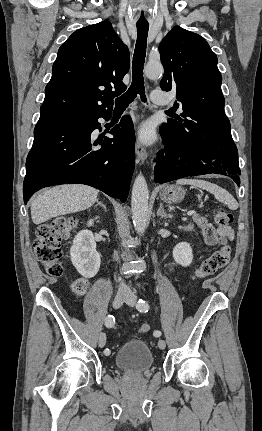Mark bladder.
Returning <instances> with one entry per match:
<instances>
[{
	"mask_svg": "<svg viewBox=\"0 0 262 431\" xmlns=\"http://www.w3.org/2000/svg\"><path fill=\"white\" fill-rule=\"evenodd\" d=\"M116 365L128 373H143L154 363L153 354L143 339L125 342L115 355Z\"/></svg>",
	"mask_w": 262,
	"mask_h": 431,
	"instance_id": "obj_1",
	"label": "bladder"
}]
</instances>
